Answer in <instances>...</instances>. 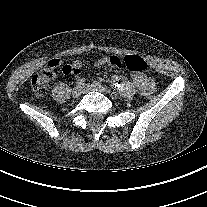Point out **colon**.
<instances>
[{"label":"colon","instance_id":"obj_1","mask_svg":"<svg viewBox=\"0 0 207 207\" xmlns=\"http://www.w3.org/2000/svg\"><path fill=\"white\" fill-rule=\"evenodd\" d=\"M58 64V61L51 63L49 68H46L33 76L31 80V89L35 96L43 97L47 93L50 83L54 77L52 68L56 67ZM124 64L130 72L141 73L147 69L146 61L137 55L125 56ZM62 69L63 71H72L73 67L64 65Z\"/></svg>","mask_w":207,"mask_h":207}]
</instances>
